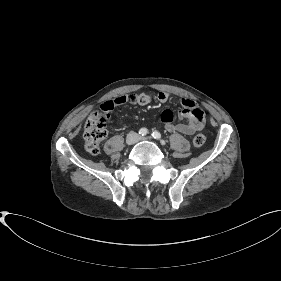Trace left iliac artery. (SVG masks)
<instances>
[{
	"mask_svg": "<svg viewBox=\"0 0 281 281\" xmlns=\"http://www.w3.org/2000/svg\"><path fill=\"white\" fill-rule=\"evenodd\" d=\"M151 135L154 139H160L161 138V134L158 131H154Z\"/></svg>",
	"mask_w": 281,
	"mask_h": 281,
	"instance_id": "obj_1",
	"label": "left iliac artery"
}]
</instances>
